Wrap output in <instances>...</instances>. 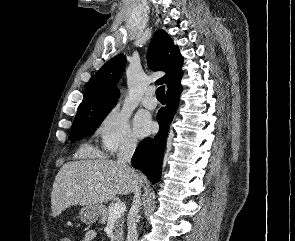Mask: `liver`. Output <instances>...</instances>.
<instances>
[{
  "label": "liver",
  "mask_w": 295,
  "mask_h": 241,
  "mask_svg": "<svg viewBox=\"0 0 295 241\" xmlns=\"http://www.w3.org/2000/svg\"><path fill=\"white\" fill-rule=\"evenodd\" d=\"M142 183V176L130 173L114 160L67 162L53 183L52 216H59L72 205L102 204L116 195H128Z\"/></svg>",
  "instance_id": "liver-1"
}]
</instances>
